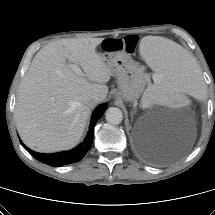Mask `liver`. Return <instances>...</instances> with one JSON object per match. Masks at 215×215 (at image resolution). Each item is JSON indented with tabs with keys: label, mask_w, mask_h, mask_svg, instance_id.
<instances>
[{
	"label": "liver",
	"mask_w": 215,
	"mask_h": 215,
	"mask_svg": "<svg viewBox=\"0 0 215 215\" xmlns=\"http://www.w3.org/2000/svg\"><path fill=\"white\" fill-rule=\"evenodd\" d=\"M103 38L53 41L35 55L20 83L14 119L19 135L30 149L52 153L73 148L90 116L89 101H103L111 71L97 53ZM83 70L76 73L71 64Z\"/></svg>",
	"instance_id": "liver-1"
}]
</instances>
